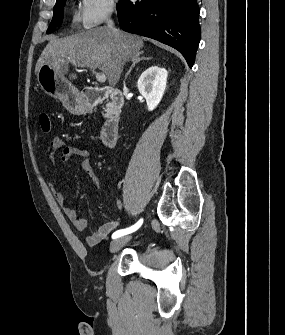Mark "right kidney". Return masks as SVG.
I'll list each match as a JSON object with an SVG mask.
<instances>
[{"instance_id": "1", "label": "right kidney", "mask_w": 285, "mask_h": 335, "mask_svg": "<svg viewBox=\"0 0 285 335\" xmlns=\"http://www.w3.org/2000/svg\"><path fill=\"white\" fill-rule=\"evenodd\" d=\"M167 70L151 66L141 74L137 86L141 96H144L149 112L157 108L165 92L167 84Z\"/></svg>"}]
</instances>
